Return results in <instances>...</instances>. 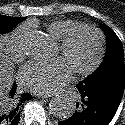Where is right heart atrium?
I'll return each instance as SVG.
<instances>
[{"instance_id":"1","label":"right heart atrium","mask_w":125,"mask_h":125,"mask_svg":"<svg viewBox=\"0 0 125 125\" xmlns=\"http://www.w3.org/2000/svg\"><path fill=\"white\" fill-rule=\"evenodd\" d=\"M28 27L25 25L17 27L7 40V48L14 60L21 59L27 50Z\"/></svg>"}]
</instances>
